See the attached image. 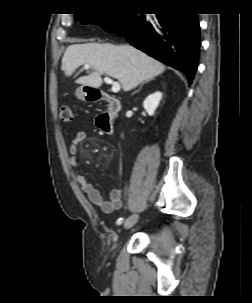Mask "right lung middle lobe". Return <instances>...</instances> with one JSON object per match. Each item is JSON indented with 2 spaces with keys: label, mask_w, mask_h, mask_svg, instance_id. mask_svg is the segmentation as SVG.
<instances>
[{
  "label": "right lung middle lobe",
  "mask_w": 252,
  "mask_h": 303,
  "mask_svg": "<svg viewBox=\"0 0 252 303\" xmlns=\"http://www.w3.org/2000/svg\"><path fill=\"white\" fill-rule=\"evenodd\" d=\"M128 14L123 13H82L76 14V17L81 22L93 21L103 28L106 26L114 25Z\"/></svg>",
  "instance_id": "right-lung-middle-lobe-1"
}]
</instances>
